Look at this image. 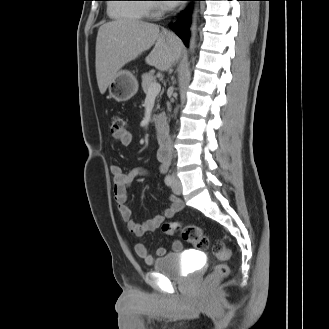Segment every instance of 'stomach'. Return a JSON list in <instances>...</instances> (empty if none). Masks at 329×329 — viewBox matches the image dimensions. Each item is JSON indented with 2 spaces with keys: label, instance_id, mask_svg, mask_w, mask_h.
<instances>
[{
  "label": "stomach",
  "instance_id": "0dacf381",
  "mask_svg": "<svg viewBox=\"0 0 329 329\" xmlns=\"http://www.w3.org/2000/svg\"><path fill=\"white\" fill-rule=\"evenodd\" d=\"M109 95L118 102L132 98L138 91L135 76L126 70L119 71L115 79L109 84Z\"/></svg>",
  "mask_w": 329,
  "mask_h": 329
}]
</instances>
